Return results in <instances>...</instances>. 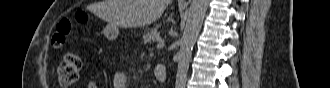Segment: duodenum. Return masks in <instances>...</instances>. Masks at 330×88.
<instances>
[{"instance_id": "duodenum-1", "label": "duodenum", "mask_w": 330, "mask_h": 88, "mask_svg": "<svg viewBox=\"0 0 330 88\" xmlns=\"http://www.w3.org/2000/svg\"><path fill=\"white\" fill-rule=\"evenodd\" d=\"M162 70H164V72L162 73V75L159 77V81H164L166 78V69L164 66L160 65Z\"/></svg>"}]
</instances>
